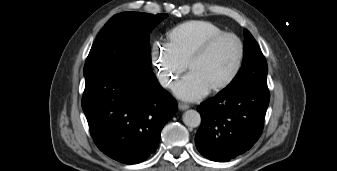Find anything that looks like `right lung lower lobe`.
I'll return each mask as SVG.
<instances>
[{"label": "right lung lower lobe", "mask_w": 337, "mask_h": 171, "mask_svg": "<svg viewBox=\"0 0 337 171\" xmlns=\"http://www.w3.org/2000/svg\"><path fill=\"white\" fill-rule=\"evenodd\" d=\"M82 108L97 147L116 161L137 164L157 149L177 103L153 72L106 66L85 74Z\"/></svg>", "instance_id": "98d812e1"}]
</instances>
